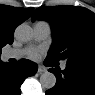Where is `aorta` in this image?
<instances>
[{
    "label": "aorta",
    "instance_id": "aorta-1",
    "mask_svg": "<svg viewBox=\"0 0 95 95\" xmlns=\"http://www.w3.org/2000/svg\"><path fill=\"white\" fill-rule=\"evenodd\" d=\"M33 29L26 23H22L15 29V37L23 42L30 41L33 38ZM40 83L46 89H52L56 84V77L51 72H44L40 76Z\"/></svg>",
    "mask_w": 95,
    "mask_h": 95
}]
</instances>
